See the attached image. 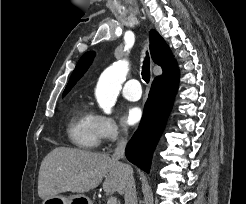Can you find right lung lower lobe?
Returning a JSON list of instances; mask_svg holds the SVG:
<instances>
[{
	"label": "right lung lower lobe",
	"instance_id": "98d812e1",
	"mask_svg": "<svg viewBox=\"0 0 246 204\" xmlns=\"http://www.w3.org/2000/svg\"><path fill=\"white\" fill-rule=\"evenodd\" d=\"M179 81L178 68L159 76L152 84L142 122L126 147V157L149 172L152 154L166 122Z\"/></svg>",
	"mask_w": 246,
	"mask_h": 204
}]
</instances>
